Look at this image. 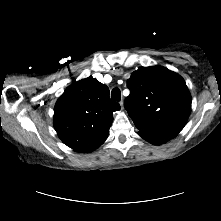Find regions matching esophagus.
Segmentation results:
<instances>
[{
    "mask_svg": "<svg viewBox=\"0 0 221 221\" xmlns=\"http://www.w3.org/2000/svg\"><path fill=\"white\" fill-rule=\"evenodd\" d=\"M120 106H121L122 109L124 108V103H123L122 100L120 101Z\"/></svg>",
    "mask_w": 221,
    "mask_h": 221,
    "instance_id": "obj_1",
    "label": "esophagus"
}]
</instances>
